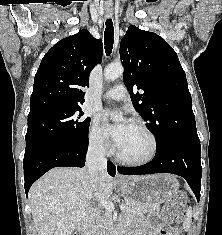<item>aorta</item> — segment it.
<instances>
[{
    "mask_svg": "<svg viewBox=\"0 0 222 235\" xmlns=\"http://www.w3.org/2000/svg\"><path fill=\"white\" fill-rule=\"evenodd\" d=\"M124 68L120 63H113L108 65L104 70V78L106 81H114L123 75ZM116 120L118 119L115 118Z\"/></svg>",
    "mask_w": 222,
    "mask_h": 235,
    "instance_id": "762f6f07",
    "label": "aorta"
}]
</instances>
